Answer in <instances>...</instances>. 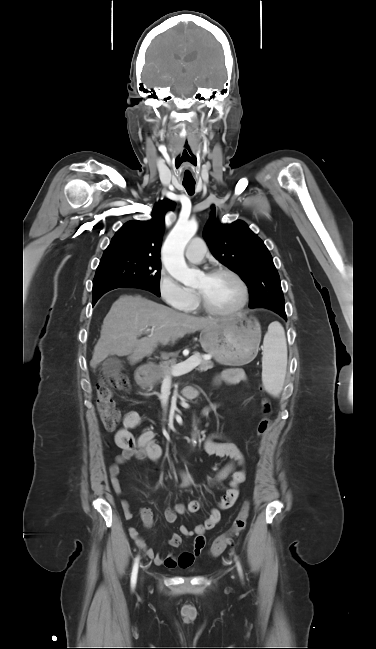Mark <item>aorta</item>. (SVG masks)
Instances as JSON below:
<instances>
[{
    "instance_id": "aorta-1",
    "label": "aorta",
    "mask_w": 376,
    "mask_h": 649,
    "mask_svg": "<svg viewBox=\"0 0 376 649\" xmlns=\"http://www.w3.org/2000/svg\"><path fill=\"white\" fill-rule=\"evenodd\" d=\"M198 225L195 220H178L168 235L162 250L163 264L170 275L184 284L193 283L200 271L187 266L184 259V249L195 235Z\"/></svg>"
}]
</instances>
